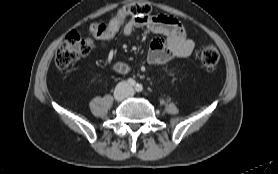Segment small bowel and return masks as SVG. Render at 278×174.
Segmentation results:
<instances>
[{"label":"small bowel","mask_w":278,"mask_h":174,"mask_svg":"<svg viewBox=\"0 0 278 174\" xmlns=\"http://www.w3.org/2000/svg\"><path fill=\"white\" fill-rule=\"evenodd\" d=\"M177 21L176 18L164 14L131 16L123 21L119 31L130 35L137 28H145L158 35L159 37L151 42L147 60L150 64H165L174 58L190 56L195 48L185 29L176 26ZM109 39L99 38L102 45Z\"/></svg>","instance_id":"obj_1"}]
</instances>
